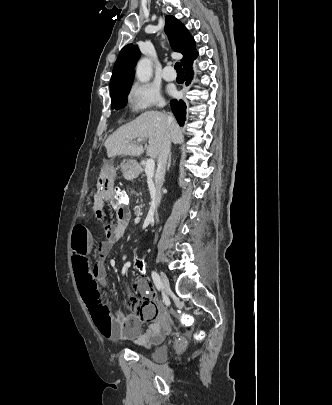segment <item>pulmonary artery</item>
Instances as JSON below:
<instances>
[{
	"mask_svg": "<svg viewBox=\"0 0 332 405\" xmlns=\"http://www.w3.org/2000/svg\"><path fill=\"white\" fill-rule=\"evenodd\" d=\"M162 77L167 81H173L176 79L177 76L171 66H166L162 71Z\"/></svg>",
	"mask_w": 332,
	"mask_h": 405,
	"instance_id": "obj_1",
	"label": "pulmonary artery"
}]
</instances>
